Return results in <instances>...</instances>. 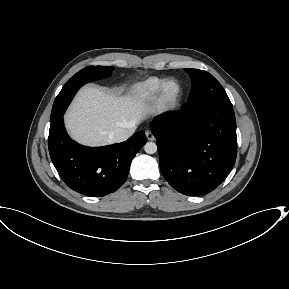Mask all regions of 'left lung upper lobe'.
<instances>
[{"mask_svg": "<svg viewBox=\"0 0 289 289\" xmlns=\"http://www.w3.org/2000/svg\"><path fill=\"white\" fill-rule=\"evenodd\" d=\"M185 71L192 82L188 103L216 102L232 106L225 90L210 73L192 68H186Z\"/></svg>", "mask_w": 289, "mask_h": 289, "instance_id": "left-lung-upper-lobe-1", "label": "left lung upper lobe"}]
</instances>
